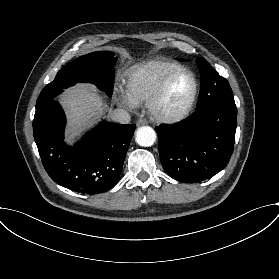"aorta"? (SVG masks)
I'll list each match as a JSON object with an SVG mask.
<instances>
[{"label":"aorta","instance_id":"obj_1","mask_svg":"<svg viewBox=\"0 0 279 279\" xmlns=\"http://www.w3.org/2000/svg\"><path fill=\"white\" fill-rule=\"evenodd\" d=\"M156 138V132L149 126L140 127L136 132V142L143 147L152 146Z\"/></svg>","mask_w":279,"mask_h":279}]
</instances>
